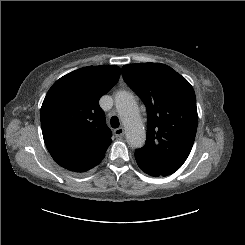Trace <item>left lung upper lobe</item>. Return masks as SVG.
I'll list each match as a JSON object with an SVG mask.
<instances>
[{"label": "left lung upper lobe", "mask_w": 245, "mask_h": 245, "mask_svg": "<svg viewBox=\"0 0 245 245\" xmlns=\"http://www.w3.org/2000/svg\"><path fill=\"white\" fill-rule=\"evenodd\" d=\"M128 86L147 108V138L135 154L179 169L192 149L198 124L195 92L171 67L160 63L122 67Z\"/></svg>", "instance_id": "obj_1"}]
</instances>
